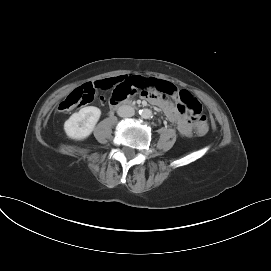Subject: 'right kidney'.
<instances>
[{"instance_id": "1", "label": "right kidney", "mask_w": 271, "mask_h": 271, "mask_svg": "<svg viewBox=\"0 0 271 271\" xmlns=\"http://www.w3.org/2000/svg\"><path fill=\"white\" fill-rule=\"evenodd\" d=\"M100 116L101 110L99 108L94 106L84 107L65 121L64 130L71 139H85L94 130Z\"/></svg>"}]
</instances>
